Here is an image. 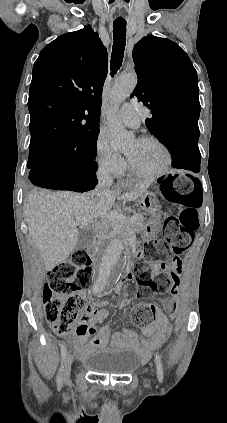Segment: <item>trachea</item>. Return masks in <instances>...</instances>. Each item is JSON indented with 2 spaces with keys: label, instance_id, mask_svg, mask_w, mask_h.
Returning a JSON list of instances; mask_svg holds the SVG:
<instances>
[{
  "label": "trachea",
  "instance_id": "trachea-1",
  "mask_svg": "<svg viewBox=\"0 0 227 423\" xmlns=\"http://www.w3.org/2000/svg\"><path fill=\"white\" fill-rule=\"evenodd\" d=\"M113 48L111 55V76H114L122 65L126 46V20L116 19L113 22Z\"/></svg>",
  "mask_w": 227,
  "mask_h": 423
}]
</instances>
